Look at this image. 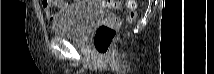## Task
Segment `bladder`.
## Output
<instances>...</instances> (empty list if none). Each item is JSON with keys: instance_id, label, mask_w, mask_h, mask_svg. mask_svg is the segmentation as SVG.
I'll use <instances>...</instances> for the list:
<instances>
[{"instance_id": "31cf9c89", "label": "bladder", "mask_w": 214, "mask_h": 74, "mask_svg": "<svg viewBox=\"0 0 214 74\" xmlns=\"http://www.w3.org/2000/svg\"><path fill=\"white\" fill-rule=\"evenodd\" d=\"M104 16V11L93 2L76 1L56 16L52 30L60 37L83 41L88 30Z\"/></svg>"}]
</instances>
